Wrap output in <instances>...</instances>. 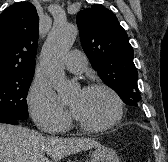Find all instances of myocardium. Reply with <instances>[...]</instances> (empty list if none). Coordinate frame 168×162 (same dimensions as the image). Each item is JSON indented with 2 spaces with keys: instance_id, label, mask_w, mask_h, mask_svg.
<instances>
[{
  "instance_id": "f54148a6",
  "label": "myocardium",
  "mask_w": 168,
  "mask_h": 162,
  "mask_svg": "<svg viewBox=\"0 0 168 162\" xmlns=\"http://www.w3.org/2000/svg\"><path fill=\"white\" fill-rule=\"evenodd\" d=\"M96 90L105 91L111 96V98L113 99L114 104H115V113L109 121H107L106 123L101 124V125L86 124L83 121H81L78 117H76V115L73 113V118H74V121L76 122V124L82 130L88 131V132L107 131V130L113 128L115 125H117L123 116V110H124L123 109V101H122L121 97L119 96V94L109 85L103 84V83H94V84H90L82 89V91H84V92H91V91H96Z\"/></svg>"
}]
</instances>
